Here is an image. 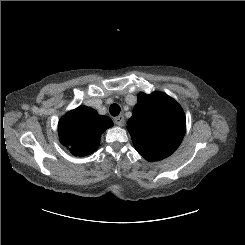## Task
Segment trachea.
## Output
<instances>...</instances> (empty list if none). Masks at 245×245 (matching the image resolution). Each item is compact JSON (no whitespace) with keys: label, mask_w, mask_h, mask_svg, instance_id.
I'll use <instances>...</instances> for the list:
<instances>
[{"label":"trachea","mask_w":245,"mask_h":245,"mask_svg":"<svg viewBox=\"0 0 245 245\" xmlns=\"http://www.w3.org/2000/svg\"><path fill=\"white\" fill-rule=\"evenodd\" d=\"M109 111L112 116H117L119 115L121 108L118 104L114 103L110 106Z\"/></svg>","instance_id":"obj_1"}]
</instances>
